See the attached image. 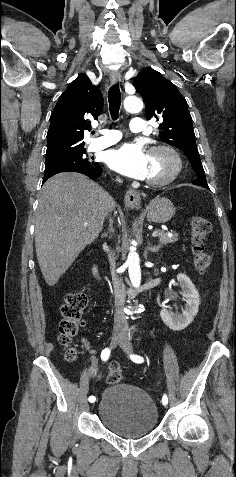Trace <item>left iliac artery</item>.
<instances>
[{
    "label": "left iliac artery",
    "instance_id": "1",
    "mask_svg": "<svg viewBox=\"0 0 236 477\" xmlns=\"http://www.w3.org/2000/svg\"><path fill=\"white\" fill-rule=\"evenodd\" d=\"M130 358H131V360H132L133 362H135V363H142V362H144L143 357H141V356H139V355H134V354H133V355H130ZM163 402H166V403L168 404V397H167L166 394H164L163 397H162V403H163Z\"/></svg>",
    "mask_w": 236,
    "mask_h": 477
}]
</instances>
